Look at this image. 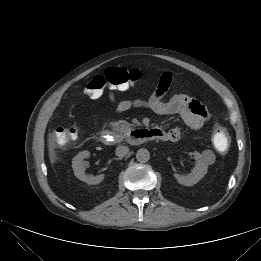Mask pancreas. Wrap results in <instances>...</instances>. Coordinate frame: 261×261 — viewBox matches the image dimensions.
I'll list each match as a JSON object with an SVG mask.
<instances>
[{
	"instance_id": "pancreas-1",
	"label": "pancreas",
	"mask_w": 261,
	"mask_h": 261,
	"mask_svg": "<svg viewBox=\"0 0 261 261\" xmlns=\"http://www.w3.org/2000/svg\"><path fill=\"white\" fill-rule=\"evenodd\" d=\"M110 126L117 133L118 137L122 140L124 136H126L131 130L132 124L126 121L119 120L117 122H111Z\"/></svg>"
}]
</instances>
